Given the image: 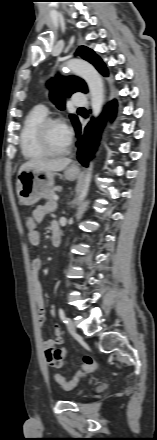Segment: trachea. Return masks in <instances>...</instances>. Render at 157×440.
<instances>
[{
    "label": "trachea",
    "instance_id": "obj_1",
    "mask_svg": "<svg viewBox=\"0 0 157 440\" xmlns=\"http://www.w3.org/2000/svg\"><path fill=\"white\" fill-rule=\"evenodd\" d=\"M79 109L81 110V109H84V108H83V107H81V108H79Z\"/></svg>",
    "mask_w": 157,
    "mask_h": 440
}]
</instances>
